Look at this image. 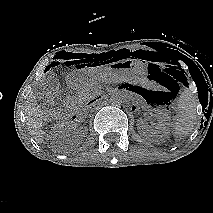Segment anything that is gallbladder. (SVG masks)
Returning a JSON list of instances; mask_svg holds the SVG:
<instances>
[{"label": "gallbladder", "mask_w": 213, "mask_h": 213, "mask_svg": "<svg viewBox=\"0 0 213 213\" xmlns=\"http://www.w3.org/2000/svg\"><path fill=\"white\" fill-rule=\"evenodd\" d=\"M39 93L42 96L51 95L53 99L58 100L61 97L60 82L54 73L46 75L40 82Z\"/></svg>", "instance_id": "1"}]
</instances>
